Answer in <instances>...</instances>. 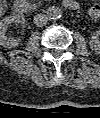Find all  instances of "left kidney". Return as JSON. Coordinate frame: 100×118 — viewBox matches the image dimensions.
<instances>
[{
	"label": "left kidney",
	"instance_id": "left-kidney-1",
	"mask_svg": "<svg viewBox=\"0 0 100 118\" xmlns=\"http://www.w3.org/2000/svg\"><path fill=\"white\" fill-rule=\"evenodd\" d=\"M90 43H91L92 47L99 49V47H100V32L99 31H96L92 35Z\"/></svg>",
	"mask_w": 100,
	"mask_h": 118
}]
</instances>
